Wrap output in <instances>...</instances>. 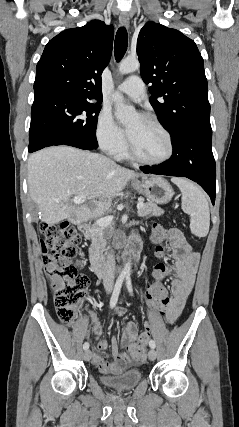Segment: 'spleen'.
I'll list each match as a JSON object with an SVG mask.
<instances>
[{
    "label": "spleen",
    "instance_id": "obj_1",
    "mask_svg": "<svg viewBox=\"0 0 239 427\" xmlns=\"http://www.w3.org/2000/svg\"><path fill=\"white\" fill-rule=\"evenodd\" d=\"M181 193L182 210L190 216L191 232L197 237H205L209 232L210 211L202 190L185 178H172Z\"/></svg>",
    "mask_w": 239,
    "mask_h": 427
}]
</instances>
